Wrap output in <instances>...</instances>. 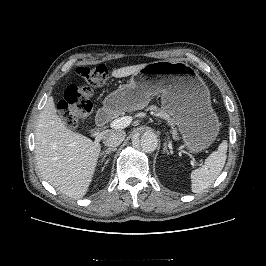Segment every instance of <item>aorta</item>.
<instances>
[{"mask_svg": "<svg viewBox=\"0 0 266 266\" xmlns=\"http://www.w3.org/2000/svg\"><path fill=\"white\" fill-rule=\"evenodd\" d=\"M133 145H140L145 153H152L158 147V137L154 131L144 130L133 140Z\"/></svg>", "mask_w": 266, "mask_h": 266, "instance_id": "aorta-1", "label": "aorta"}]
</instances>
